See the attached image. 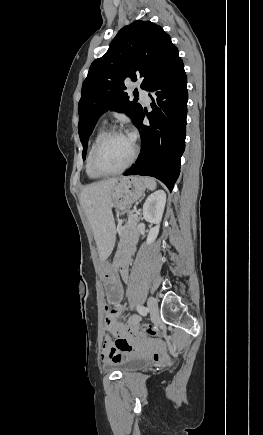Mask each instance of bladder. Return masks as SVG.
<instances>
[{"instance_id": "obj_1", "label": "bladder", "mask_w": 263, "mask_h": 435, "mask_svg": "<svg viewBox=\"0 0 263 435\" xmlns=\"http://www.w3.org/2000/svg\"><path fill=\"white\" fill-rule=\"evenodd\" d=\"M148 360L141 356L129 355L122 360L109 364L107 367L116 368L123 373L132 372L144 367Z\"/></svg>"}]
</instances>
